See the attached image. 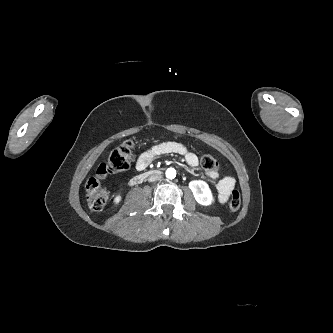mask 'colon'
Returning a JSON list of instances; mask_svg holds the SVG:
<instances>
[{"instance_id":"5ec220e1","label":"colon","mask_w":333,"mask_h":333,"mask_svg":"<svg viewBox=\"0 0 333 333\" xmlns=\"http://www.w3.org/2000/svg\"><path fill=\"white\" fill-rule=\"evenodd\" d=\"M133 141H126L117 147L110 154L107 161L101 163L95 172V175L86 183V199L88 205L93 211H101L109 201L108 193L101 188L100 180L108 174L122 172L127 170L134 159ZM201 166L206 171H217L218 163L211 155H204L201 158ZM241 206V196L237 190L231 193L229 207L231 210H238Z\"/></svg>"}]
</instances>
